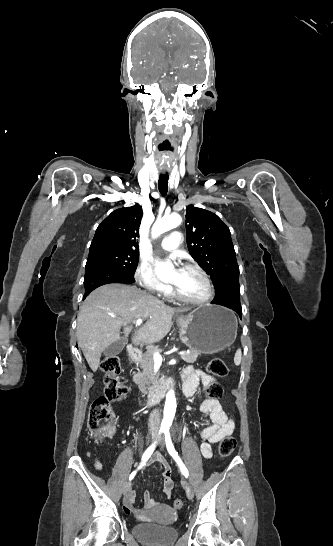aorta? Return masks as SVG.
<instances>
[{
    "instance_id": "obj_1",
    "label": "aorta",
    "mask_w": 333,
    "mask_h": 546,
    "mask_svg": "<svg viewBox=\"0 0 333 546\" xmlns=\"http://www.w3.org/2000/svg\"><path fill=\"white\" fill-rule=\"evenodd\" d=\"M182 222V218L179 214L172 213L168 216H164L161 219H157L152 227V236L154 238L161 234L178 227ZM155 273L160 280H168L172 278L174 273V266L171 262L155 263ZM176 412V398L174 390H170L166 395L164 416L162 420V427L169 428L172 424Z\"/></svg>"
}]
</instances>
